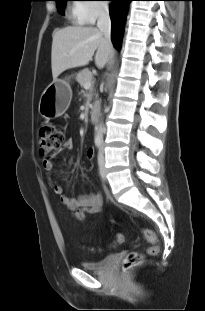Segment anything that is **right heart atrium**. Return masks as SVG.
Here are the masks:
<instances>
[{
  "mask_svg": "<svg viewBox=\"0 0 205 311\" xmlns=\"http://www.w3.org/2000/svg\"><path fill=\"white\" fill-rule=\"evenodd\" d=\"M100 2L103 1L96 0L78 5V10L85 23H94L97 19L109 13L108 7Z\"/></svg>",
  "mask_w": 205,
  "mask_h": 311,
  "instance_id": "obj_1",
  "label": "right heart atrium"
}]
</instances>
